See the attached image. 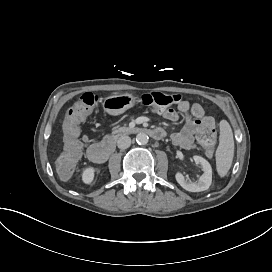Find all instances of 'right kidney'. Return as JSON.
I'll return each mask as SVG.
<instances>
[{"mask_svg":"<svg viewBox=\"0 0 272 272\" xmlns=\"http://www.w3.org/2000/svg\"><path fill=\"white\" fill-rule=\"evenodd\" d=\"M94 172H95L94 168L92 167L86 168L82 174L83 182L86 184H90L94 179Z\"/></svg>","mask_w":272,"mask_h":272,"instance_id":"ca27d5eb","label":"right kidney"}]
</instances>
